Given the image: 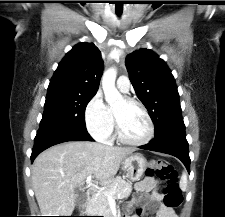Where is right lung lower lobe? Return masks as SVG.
<instances>
[{"mask_svg":"<svg viewBox=\"0 0 225 217\" xmlns=\"http://www.w3.org/2000/svg\"><path fill=\"white\" fill-rule=\"evenodd\" d=\"M67 141H93L87 130L70 129L58 125L44 124L40 125L37 135L34 139L31 161L43 150Z\"/></svg>","mask_w":225,"mask_h":217,"instance_id":"right-lung-lower-lobe-1","label":"right lung lower lobe"}]
</instances>
